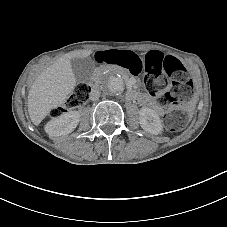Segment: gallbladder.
I'll list each match as a JSON object with an SVG mask.
<instances>
[{
  "instance_id": "bac80fb5",
  "label": "gallbladder",
  "mask_w": 227,
  "mask_h": 227,
  "mask_svg": "<svg viewBox=\"0 0 227 227\" xmlns=\"http://www.w3.org/2000/svg\"><path fill=\"white\" fill-rule=\"evenodd\" d=\"M73 72L78 83H87L95 69V62L90 58H76L71 61Z\"/></svg>"
}]
</instances>
